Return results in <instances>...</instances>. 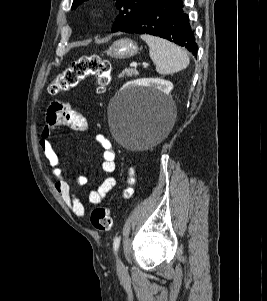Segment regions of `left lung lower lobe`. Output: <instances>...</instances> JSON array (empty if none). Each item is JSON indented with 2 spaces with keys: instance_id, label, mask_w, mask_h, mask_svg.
<instances>
[{
  "instance_id": "obj_1",
  "label": "left lung lower lobe",
  "mask_w": 267,
  "mask_h": 301,
  "mask_svg": "<svg viewBox=\"0 0 267 301\" xmlns=\"http://www.w3.org/2000/svg\"><path fill=\"white\" fill-rule=\"evenodd\" d=\"M182 0H152L131 22L118 31L165 38L197 54L194 32Z\"/></svg>"
}]
</instances>
